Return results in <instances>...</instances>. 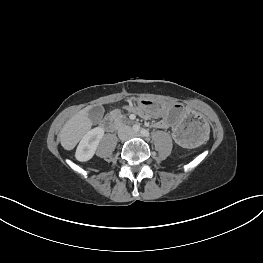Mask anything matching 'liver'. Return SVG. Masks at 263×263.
I'll return each mask as SVG.
<instances>
[{"mask_svg": "<svg viewBox=\"0 0 263 263\" xmlns=\"http://www.w3.org/2000/svg\"><path fill=\"white\" fill-rule=\"evenodd\" d=\"M91 108V106L83 108L63 126L60 132V142L65 150H72L92 127L93 123L89 118Z\"/></svg>", "mask_w": 263, "mask_h": 263, "instance_id": "liver-1", "label": "liver"}]
</instances>
